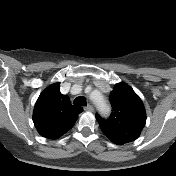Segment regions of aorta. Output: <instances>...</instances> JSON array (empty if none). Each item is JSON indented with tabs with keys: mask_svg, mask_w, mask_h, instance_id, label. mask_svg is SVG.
I'll use <instances>...</instances> for the list:
<instances>
[{
	"mask_svg": "<svg viewBox=\"0 0 176 176\" xmlns=\"http://www.w3.org/2000/svg\"><path fill=\"white\" fill-rule=\"evenodd\" d=\"M91 99L95 106L100 110L102 113L107 114L109 112V106L105 97L99 91H96L91 95Z\"/></svg>",
	"mask_w": 176,
	"mask_h": 176,
	"instance_id": "aorta-1",
	"label": "aorta"
}]
</instances>
